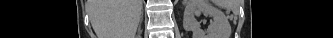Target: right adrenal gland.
I'll return each mask as SVG.
<instances>
[{"instance_id": "obj_1", "label": "right adrenal gland", "mask_w": 333, "mask_h": 38, "mask_svg": "<svg viewBox=\"0 0 333 38\" xmlns=\"http://www.w3.org/2000/svg\"><path fill=\"white\" fill-rule=\"evenodd\" d=\"M142 18H143V16H141V19H140V24H141Z\"/></svg>"}]
</instances>
